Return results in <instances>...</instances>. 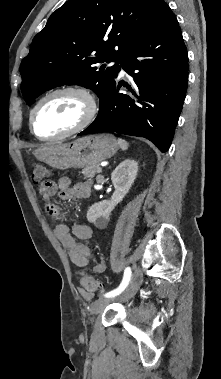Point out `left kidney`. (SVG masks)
<instances>
[{
	"label": "left kidney",
	"instance_id": "left-kidney-1",
	"mask_svg": "<svg viewBox=\"0 0 221 379\" xmlns=\"http://www.w3.org/2000/svg\"><path fill=\"white\" fill-rule=\"evenodd\" d=\"M138 172V163L131 159L121 162L111 174L115 191L110 200L92 205L87 212V219L92 223H104L111 212L129 192Z\"/></svg>",
	"mask_w": 221,
	"mask_h": 379
}]
</instances>
